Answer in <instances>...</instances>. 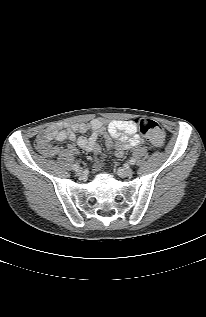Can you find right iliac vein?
Here are the masks:
<instances>
[{
	"mask_svg": "<svg viewBox=\"0 0 206 317\" xmlns=\"http://www.w3.org/2000/svg\"><path fill=\"white\" fill-rule=\"evenodd\" d=\"M76 175H77V176H83V175H84L83 170H82V169H77V170H76Z\"/></svg>",
	"mask_w": 206,
	"mask_h": 317,
	"instance_id": "obj_1",
	"label": "right iliac vein"
}]
</instances>
